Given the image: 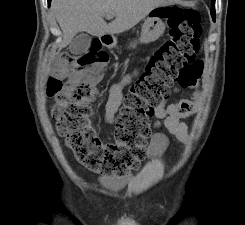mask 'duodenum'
<instances>
[{
	"instance_id": "duodenum-1",
	"label": "duodenum",
	"mask_w": 245,
	"mask_h": 225,
	"mask_svg": "<svg viewBox=\"0 0 245 225\" xmlns=\"http://www.w3.org/2000/svg\"><path fill=\"white\" fill-rule=\"evenodd\" d=\"M100 39H101L102 42L105 43V45H108L111 42L112 37L109 36L108 34H103V35L100 36Z\"/></svg>"
}]
</instances>
